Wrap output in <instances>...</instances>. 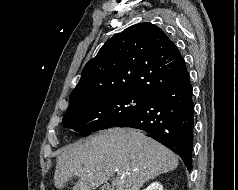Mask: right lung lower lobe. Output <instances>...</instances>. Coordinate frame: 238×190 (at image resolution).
I'll use <instances>...</instances> for the list:
<instances>
[{
  "label": "right lung lower lobe",
  "mask_w": 238,
  "mask_h": 190,
  "mask_svg": "<svg viewBox=\"0 0 238 190\" xmlns=\"http://www.w3.org/2000/svg\"><path fill=\"white\" fill-rule=\"evenodd\" d=\"M189 73L150 97L147 105L114 126L132 127L154 135L161 144L177 153L192 169L194 103Z\"/></svg>",
  "instance_id": "obj_1"
}]
</instances>
